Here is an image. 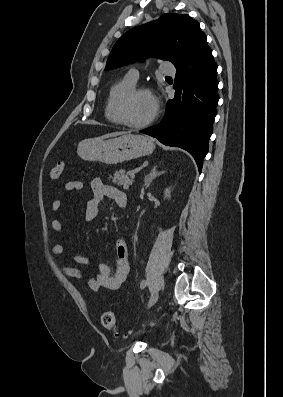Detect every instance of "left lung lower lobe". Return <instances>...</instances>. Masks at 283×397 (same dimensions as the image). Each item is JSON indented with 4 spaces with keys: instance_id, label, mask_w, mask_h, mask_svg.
I'll use <instances>...</instances> for the list:
<instances>
[{
    "instance_id": "1",
    "label": "left lung lower lobe",
    "mask_w": 283,
    "mask_h": 397,
    "mask_svg": "<svg viewBox=\"0 0 283 397\" xmlns=\"http://www.w3.org/2000/svg\"><path fill=\"white\" fill-rule=\"evenodd\" d=\"M216 74L212 50L205 44L176 67L175 97L168 101L163 120L140 131L167 146L188 151L200 172L219 101Z\"/></svg>"
}]
</instances>
